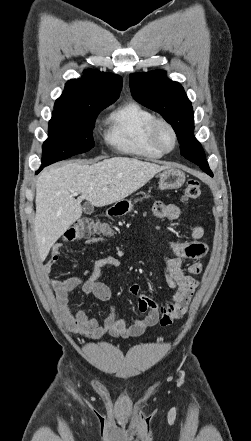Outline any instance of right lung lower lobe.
Segmentation results:
<instances>
[{
    "mask_svg": "<svg viewBox=\"0 0 251 441\" xmlns=\"http://www.w3.org/2000/svg\"><path fill=\"white\" fill-rule=\"evenodd\" d=\"M45 166H47V165H46V164H42L40 170H41L43 167H45ZM40 170H39V171H40ZM39 171H37L36 173H38Z\"/></svg>",
    "mask_w": 251,
    "mask_h": 441,
    "instance_id": "right-lung-lower-lobe-1",
    "label": "right lung lower lobe"
}]
</instances>
